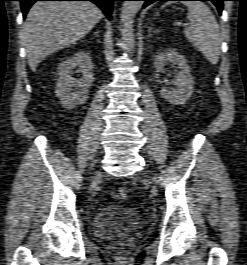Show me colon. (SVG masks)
Listing matches in <instances>:
<instances>
[{"mask_svg":"<svg viewBox=\"0 0 247 265\" xmlns=\"http://www.w3.org/2000/svg\"><path fill=\"white\" fill-rule=\"evenodd\" d=\"M118 195L121 197V198H127L128 194H129V190L126 186H119L118 189Z\"/></svg>","mask_w":247,"mask_h":265,"instance_id":"obj_1","label":"colon"}]
</instances>
